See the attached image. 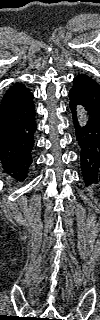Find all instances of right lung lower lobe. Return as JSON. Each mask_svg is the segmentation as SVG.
Segmentation results:
<instances>
[{
    "mask_svg": "<svg viewBox=\"0 0 100 320\" xmlns=\"http://www.w3.org/2000/svg\"><path fill=\"white\" fill-rule=\"evenodd\" d=\"M36 130L33 94L28 88L0 103V159L11 177L24 181L32 163Z\"/></svg>",
    "mask_w": 100,
    "mask_h": 320,
    "instance_id": "1",
    "label": "right lung lower lobe"
}]
</instances>
